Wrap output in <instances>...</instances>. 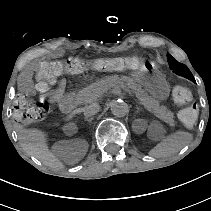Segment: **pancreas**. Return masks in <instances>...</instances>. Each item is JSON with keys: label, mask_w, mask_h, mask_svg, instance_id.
<instances>
[{"label": "pancreas", "mask_w": 211, "mask_h": 211, "mask_svg": "<svg viewBox=\"0 0 211 211\" xmlns=\"http://www.w3.org/2000/svg\"><path fill=\"white\" fill-rule=\"evenodd\" d=\"M118 83H123L124 85L129 86V88L135 93L139 102L144 105L147 110L153 112L156 117L163 120L170 126L175 125L174 114L168 110L167 107L160 106L156 100L142 89L140 84L135 82L133 78L127 76L117 78L115 76L106 75L94 84L82 89L80 92H74L69 100V103L74 108L79 107L82 102L92 103L95 101L96 96H98L101 92L116 86Z\"/></svg>", "instance_id": "1"}]
</instances>
